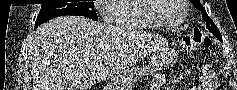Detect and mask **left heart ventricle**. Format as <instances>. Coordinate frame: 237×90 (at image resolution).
Returning <instances> with one entry per match:
<instances>
[{
    "label": "left heart ventricle",
    "instance_id": "1",
    "mask_svg": "<svg viewBox=\"0 0 237 90\" xmlns=\"http://www.w3.org/2000/svg\"><path fill=\"white\" fill-rule=\"evenodd\" d=\"M156 1H171L170 5L166 6L165 10H160L159 13H154L155 17L164 25L172 26L177 24L182 16V9L177 4V0H156Z\"/></svg>",
    "mask_w": 237,
    "mask_h": 90
}]
</instances>
